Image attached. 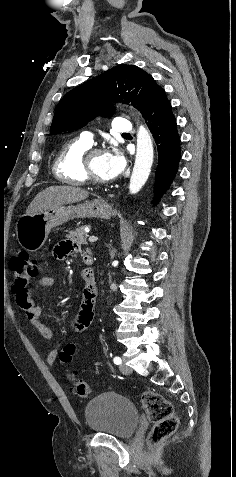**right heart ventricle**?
Returning <instances> with one entry per match:
<instances>
[{
    "label": "right heart ventricle",
    "mask_w": 236,
    "mask_h": 477,
    "mask_svg": "<svg viewBox=\"0 0 236 477\" xmlns=\"http://www.w3.org/2000/svg\"><path fill=\"white\" fill-rule=\"evenodd\" d=\"M90 146L80 140L69 141L58 154L53 164L56 178L66 184L81 185L85 183L82 172V158Z\"/></svg>",
    "instance_id": "right-heart-ventricle-1"
}]
</instances>
